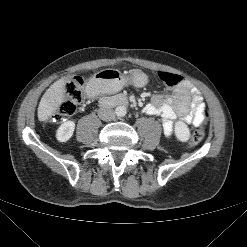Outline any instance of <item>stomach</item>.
I'll use <instances>...</instances> for the list:
<instances>
[{
  "label": "stomach",
  "mask_w": 247,
  "mask_h": 247,
  "mask_svg": "<svg viewBox=\"0 0 247 247\" xmlns=\"http://www.w3.org/2000/svg\"><path fill=\"white\" fill-rule=\"evenodd\" d=\"M147 82V75L140 70H134L129 76H124L116 70L106 69L94 74L88 85L97 92H111L127 84L143 87Z\"/></svg>",
  "instance_id": "0dacf381"
}]
</instances>
